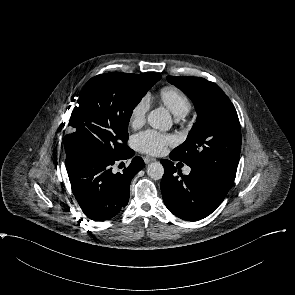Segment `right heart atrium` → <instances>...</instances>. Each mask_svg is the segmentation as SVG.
<instances>
[{"label": "right heart atrium", "mask_w": 295, "mask_h": 295, "mask_svg": "<svg viewBox=\"0 0 295 295\" xmlns=\"http://www.w3.org/2000/svg\"><path fill=\"white\" fill-rule=\"evenodd\" d=\"M150 105L151 101L148 95L140 97L133 104L129 113V124L132 128H139L145 123Z\"/></svg>", "instance_id": "1"}]
</instances>
